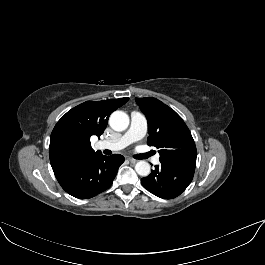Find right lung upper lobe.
Returning <instances> with one entry per match:
<instances>
[{
    "instance_id": "cb5924a9",
    "label": "right lung upper lobe",
    "mask_w": 265,
    "mask_h": 265,
    "mask_svg": "<svg viewBox=\"0 0 265 265\" xmlns=\"http://www.w3.org/2000/svg\"><path fill=\"white\" fill-rule=\"evenodd\" d=\"M127 101L128 98L86 101L69 110L50 137L49 157L54 174L99 154L92 149L90 137H100L110 114Z\"/></svg>"
}]
</instances>
